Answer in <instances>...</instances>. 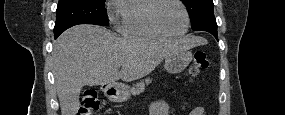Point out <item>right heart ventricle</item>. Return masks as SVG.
<instances>
[{"label": "right heart ventricle", "mask_w": 285, "mask_h": 115, "mask_svg": "<svg viewBox=\"0 0 285 115\" xmlns=\"http://www.w3.org/2000/svg\"><path fill=\"white\" fill-rule=\"evenodd\" d=\"M156 0L122 1L117 7V28L128 37L165 39L150 21V13Z\"/></svg>", "instance_id": "e07e8e85"}]
</instances>
